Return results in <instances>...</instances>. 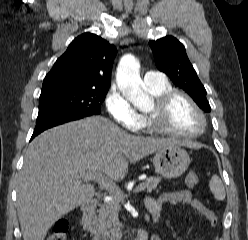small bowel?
<instances>
[{
	"instance_id": "obj_1",
	"label": "small bowel",
	"mask_w": 248,
	"mask_h": 240,
	"mask_svg": "<svg viewBox=\"0 0 248 240\" xmlns=\"http://www.w3.org/2000/svg\"><path fill=\"white\" fill-rule=\"evenodd\" d=\"M146 207L150 212L154 221H158L161 217L163 206L166 204L175 206L180 204H188L203 216L212 226H215L218 219L214 212L205 206L201 201L194 198L188 191L165 192L157 198L147 197L145 200ZM151 240H160L154 236ZM216 240H221L216 238Z\"/></svg>"
}]
</instances>
